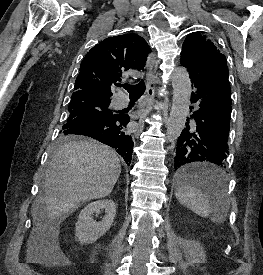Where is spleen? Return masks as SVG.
Here are the masks:
<instances>
[{"mask_svg": "<svg viewBox=\"0 0 263 275\" xmlns=\"http://www.w3.org/2000/svg\"><path fill=\"white\" fill-rule=\"evenodd\" d=\"M205 170L213 171L221 177V182L214 193L215 207H212V200L200 188L190 182H181L175 191V196L183 206L191 209L194 213L203 218L211 217L215 223L225 221L228 212V191L226 173L208 163L196 165ZM214 210V214H213Z\"/></svg>", "mask_w": 263, "mask_h": 275, "instance_id": "obj_1", "label": "spleen"}]
</instances>
